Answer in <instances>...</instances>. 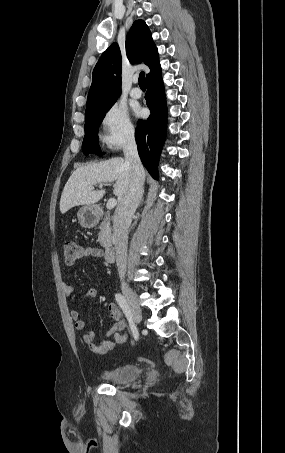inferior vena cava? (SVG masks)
I'll list each match as a JSON object with an SVG mask.
<instances>
[{"mask_svg":"<svg viewBox=\"0 0 285 453\" xmlns=\"http://www.w3.org/2000/svg\"><path fill=\"white\" fill-rule=\"evenodd\" d=\"M125 163L131 170L129 189L118 202L113 219V238L116 251V265L121 280L127 268L128 228L144 192V168L138 155L134 134H129L124 147Z\"/></svg>","mask_w":285,"mask_h":453,"instance_id":"1","label":"inferior vena cava"}]
</instances>
